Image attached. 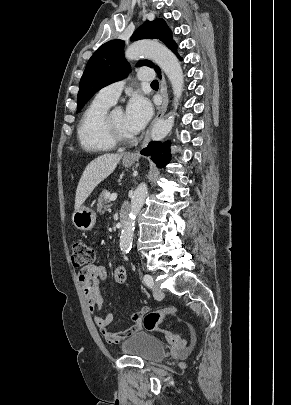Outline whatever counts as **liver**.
I'll return each instance as SVG.
<instances>
[{"label":"liver","instance_id":"liver-1","mask_svg":"<svg viewBox=\"0 0 291 405\" xmlns=\"http://www.w3.org/2000/svg\"><path fill=\"white\" fill-rule=\"evenodd\" d=\"M121 158L122 154H104L87 165L77 186L75 210H78L98 184L115 170Z\"/></svg>","mask_w":291,"mask_h":405}]
</instances>
